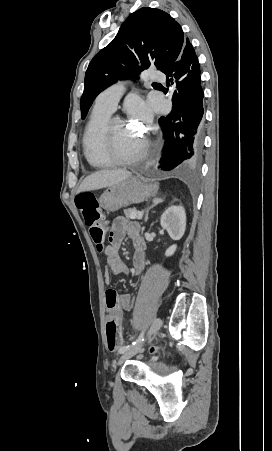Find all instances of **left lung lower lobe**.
<instances>
[{
	"label": "left lung lower lobe",
	"mask_w": 272,
	"mask_h": 451,
	"mask_svg": "<svg viewBox=\"0 0 272 451\" xmlns=\"http://www.w3.org/2000/svg\"><path fill=\"white\" fill-rule=\"evenodd\" d=\"M163 73L167 85L173 87V107L159 120L165 144L158 168L187 169L199 163L204 131L200 64L188 38L178 59Z\"/></svg>",
	"instance_id": "0a47b994"
}]
</instances>
